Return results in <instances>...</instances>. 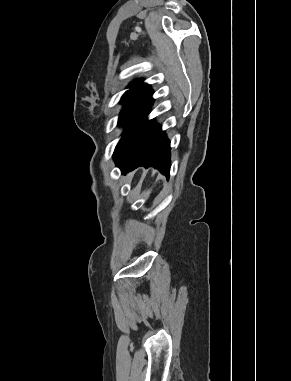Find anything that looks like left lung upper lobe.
<instances>
[{"mask_svg": "<svg viewBox=\"0 0 291 381\" xmlns=\"http://www.w3.org/2000/svg\"><path fill=\"white\" fill-rule=\"evenodd\" d=\"M130 89L122 96L121 103L124 105L120 113L118 125H125L123 136L132 126L144 108L151 102L153 91L142 80H135L129 85Z\"/></svg>", "mask_w": 291, "mask_h": 381, "instance_id": "5c2ea615", "label": "left lung upper lobe"}]
</instances>
